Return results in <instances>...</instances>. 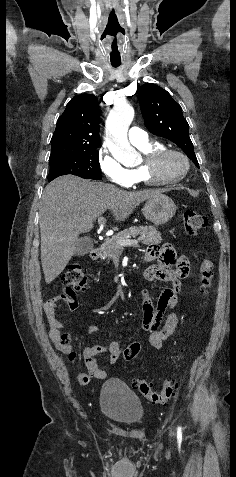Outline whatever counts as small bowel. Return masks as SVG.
Instances as JSON below:
<instances>
[{
	"mask_svg": "<svg viewBox=\"0 0 236 477\" xmlns=\"http://www.w3.org/2000/svg\"><path fill=\"white\" fill-rule=\"evenodd\" d=\"M185 256H177L174 248L165 244L163 246L149 245L146 250L145 259L147 261L157 260L156 264L150 265L145 271L147 280H157L168 283L156 302L152 301L144 292L142 301V329L148 333L149 345L153 349H161L163 343L175 332L178 324V316L171 312L164 319L168 310L178 304L179 294L182 290L181 279L184 278L190 267L187 257L188 270L185 274L177 271L178 265H183L182 260ZM59 303H64L69 310L77 309L79 302L73 294H60L47 299L43 304V310L49 323V336L56 347L65 352H70L71 348L67 342L62 341V323L57 315ZM89 335L100 336L102 330L97 325H89L86 328ZM111 336V334H110ZM122 348L113 338L107 344H95L87 346L83 350L85 365L88 373L82 372L77 375V381L81 385L89 383L91 378L104 379L107 372L102 369L96 360V356L108 354L109 361L112 364L118 362Z\"/></svg>",
	"mask_w": 236,
	"mask_h": 477,
	"instance_id": "c3829d8e",
	"label": "small bowel"
}]
</instances>
